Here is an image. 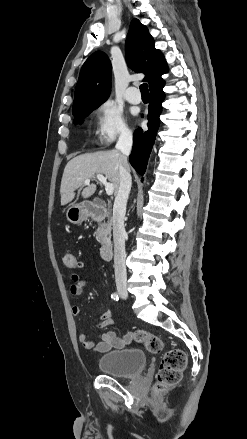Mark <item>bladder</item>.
<instances>
[{"mask_svg": "<svg viewBox=\"0 0 247 439\" xmlns=\"http://www.w3.org/2000/svg\"><path fill=\"white\" fill-rule=\"evenodd\" d=\"M146 364V354L135 348L110 351L98 360L101 372L118 378L137 377L144 371Z\"/></svg>", "mask_w": 247, "mask_h": 439, "instance_id": "31cf9c89", "label": "bladder"}]
</instances>
